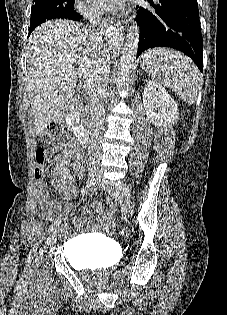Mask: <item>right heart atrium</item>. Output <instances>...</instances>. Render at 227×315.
I'll use <instances>...</instances> for the list:
<instances>
[{
	"instance_id": "d8ad5b80",
	"label": "right heart atrium",
	"mask_w": 227,
	"mask_h": 315,
	"mask_svg": "<svg viewBox=\"0 0 227 315\" xmlns=\"http://www.w3.org/2000/svg\"><path fill=\"white\" fill-rule=\"evenodd\" d=\"M75 9L86 17H95L96 10L90 6L85 0H75Z\"/></svg>"
}]
</instances>
